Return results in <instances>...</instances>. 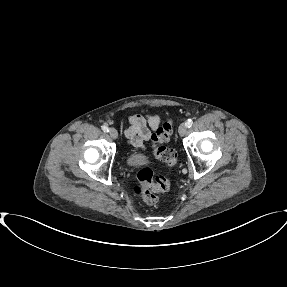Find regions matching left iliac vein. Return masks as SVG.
Returning <instances> with one entry per match:
<instances>
[{
    "label": "left iliac vein",
    "mask_w": 287,
    "mask_h": 287,
    "mask_svg": "<svg viewBox=\"0 0 287 287\" xmlns=\"http://www.w3.org/2000/svg\"><path fill=\"white\" fill-rule=\"evenodd\" d=\"M178 132H179V135L180 136H184L187 132V126L185 123H182L180 126H179V129H178Z\"/></svg>",
    "instance_id": "4c4485c4"
}]
</instances>
